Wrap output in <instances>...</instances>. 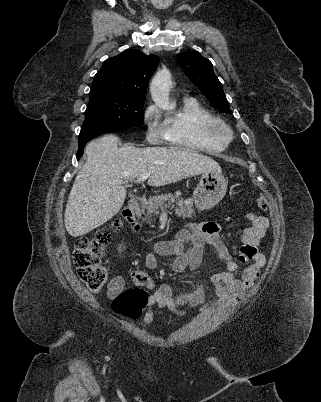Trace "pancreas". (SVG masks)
I'll list each match as a JSON object with an SVG mask.
<instances>
[{"label": "pancreas", "mask_w": 321, "mask_h": 402, "mask_svg": "<svg viewBox=\"0 0 321 402\" xmlns=\"http://www.w3.org/2000/svg\"><path fill=\"white\" fill-rule=\"evenodd\" d=\"M175 202L176 206L173 204ZM192 207L193 200L190 198L184 200L170 193L165 195L162 194L151 197L147 201H145L142 204L140 215H145V218H143V220L150 222L152 215L157 216L159 214V209L175 208L174 211L178 217L191 218L195 215Z\"/></svg>", "instance_id": "pancreas-1"}]
</instances>
